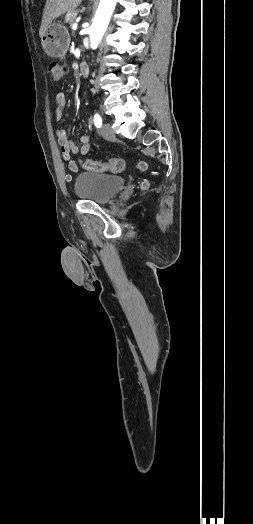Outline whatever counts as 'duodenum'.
<instances>
[{
  "label": "duodenum",
  "mask_w": 253,
  "mask_h": 524,
  "mask_svg": "<svg viewBox=\"0 0 253 524\" xmlns=\"http://www.w3.org/2000/svg\"><path fill=\"white\" fill-rule=\"evenodd\" d=\"M79 71L82 75L86 76L89 73V66L86 62H82L79 65Z\"/></svg>",
  "instance_id": "410a0bca"
}]
</instances>
